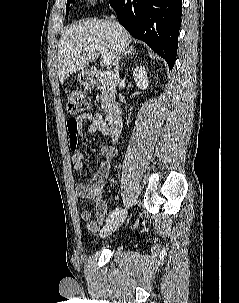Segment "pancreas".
Instances as JSON below:
<instances>
[{"instance_id":"obj_1","label":"pancreas","mask_w":239,"mask_h":303,"mask_svg":"<svg viewBox=\"0 0 239 303\" xmlns=\"http://www.w3.org/2000/svg\"><path fill=\"white\" fill-rule=\"evenodd\" d=\"M101 106L103 111H107V103H106V91H104L102 93V97H101Z\"/></svg>"}]
</instances>
